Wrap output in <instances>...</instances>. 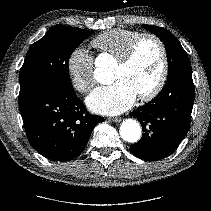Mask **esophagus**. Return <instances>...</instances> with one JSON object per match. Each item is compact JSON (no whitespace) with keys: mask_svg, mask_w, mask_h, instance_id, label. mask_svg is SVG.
Returning <instances> with one entry per match:
<instances>
[{"mask_svg":"<svg viewBox=\"0 0 211 211\" xmlns=\"http://www.w3.org/2000/svg\"><path fill=\"white\" fill-rule=\"evenodd\" d=\"M108 120L111 122L117 123V122H120L122 120V118L121 117H112V118H108Z\"/></svg>","mask_w":211,"mask_h":211,"instance_id":"34e87169","label":"esophagus"}]
</instances>
